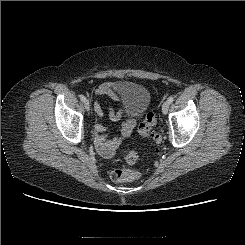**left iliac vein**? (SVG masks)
Here are the masks:
<instances>
[{
  "label": "left iliac vein",
  "mask_w": 245,
  "mask_h": 245,
  "mask_svg": "<svg viewBox=\"0 0 245 245\" xmlns=\"http://www.w3.org/2000/svg\"><path fill=\"white\" fill-rule=\"evenodd\" d=\"M169 106H170V104L167 101L163 103V105H162V113L163 114L168 113Z\"/></svg>",
  "instance_id": "1"
}]
</instances>
